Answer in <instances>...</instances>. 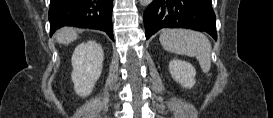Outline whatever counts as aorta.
<instances>
[{
  "label": "aorta",
  "mask_w": 273,
  "mask_h": 118,
  "mask_svg": "<svg viewBox=\"0 0 273 118\" xmlns=\"http://www.w3.org/2000/svg\"><path fill=\"white\" fill-rule=\"evenodd\" d=\"M151 3V0H140V4L143 6H147Z\"/></svg>",
  "instance_id": "1"
}]
</instances>
